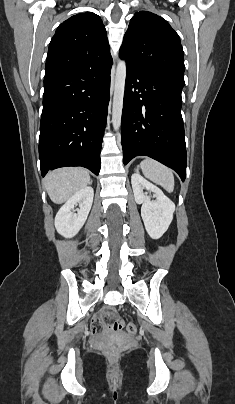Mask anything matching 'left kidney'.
<instances>
[{"instance_id": "left-kidney-1", "label": "left kidney", "mask_w": 235, "mask_h": 404, "mask_svg": "<svg viewBox=\"0 0 235 404\" xmlns=\"http://www.w3.org/2000/svg\"><path fill=\"white\" fill-rule=\"evenodd\" d=\"M131 184L137 204H142L141 216L145 229L152 239H159L167 231L173 220L175 204L164 193L144 179L139 173L131 176ZM144 188L153 193L156 200L143 192Z\"/></svg>"}]
</instances>
